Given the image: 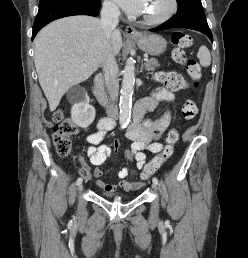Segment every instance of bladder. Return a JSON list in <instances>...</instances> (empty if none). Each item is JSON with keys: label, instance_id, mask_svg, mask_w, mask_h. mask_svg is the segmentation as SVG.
<instances>
[{"label": "bladder", "instance_id": "bladder-1", "mask_svg": "<svg viewBox=\"0 0 248 258\" xmlns=\"http://www.w3.org/2000/svg\"><path fill=\"white\" fill-rule=\"evenodd\" d=\"M105 195L108 197H119L120 196V194L113 193V192H107V193H105Z\"/></svg>", "mask_w": 248, "mask_h": 258}]
</instances>
